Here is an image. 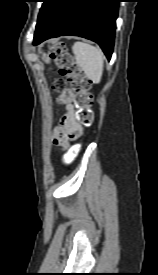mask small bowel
<instances>
[{
  "label": "small bowel",
  "instance_id": "obj_1",
  "mask_svg": "<svg viewBox=\"0 0 158 275\" xmlns=\"http://www.w3.org/2000/svg\"><path fill=\"white\" fill-rule=\"evenodd\" d=\"M72 94L66 93L61 97V102L66 105V113L54 132V144L57 146L65 145L69 140L80 137L82 133L81 125L76 121V113L72 101Z\"/></svg>",
  "mask_w": 158,
  "mask_h": 275
}]
</instances>
